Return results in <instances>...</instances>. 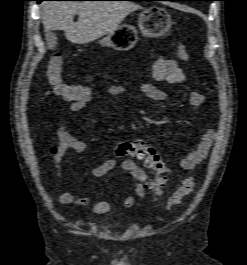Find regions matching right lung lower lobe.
<instances>
[{"instance_id":"obj_1","label":"right lung lower lobe","mask_w":247,"mask_h":265,"mask_svg":"<svg viewBox=\"0 0 247 265\" xmlns=\"http://www.w3.org/2000/svg\"><path fill=\"white\" fill-rule=\"evenodd\" d=\"M38 3H40L41 1H44V0H36ZM77 1H83V0H77Z\"/></svg>"}]
</instances>
